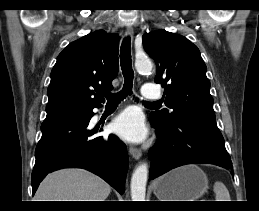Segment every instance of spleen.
Segmentation results:
<instances>
[{"label": "spleen", "mask_w": 259, "mask_h": 211, "mask_svg": "<svg viewBox=\"0 0 259 211\" xmlns=\"http://www.w3.org/2000/svg\"><path fill=\"white\" fill-rule=\"evenodd\" d=\"M213 190L216 194V201H231L229 191L222 182H215Z\"/></svg>", "instance_id": "1"}]
</instances>
